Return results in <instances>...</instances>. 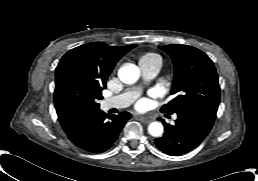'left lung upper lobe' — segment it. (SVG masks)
Wrapping results in <instances>:
<instances>
[{"label":"left lung upper lobe","instance_id":"left-lung-upper-lobe-1","mask_svg":"<svg viewBox=\"0 0 258 181\" xmlns=\"http://www.w3.org/2000/svg\"><path fill=\"white\" fill-rule=\"evenodd\" d=\"M174 63L175 97L163 105L161 112L173 114L197 108L218 109L220 86L211 59L201 50L187 45L160 46Z\"/></svg>","mask_w":258,"mask_h":181}]
</instances>
